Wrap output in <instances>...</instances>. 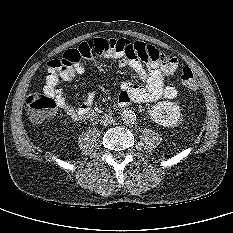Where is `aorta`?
Listing matches in <instances>:
<instances>
[{
  "mask_svg": "<svg viewBox=\"0 0 233 233\" xmlns=\"http://www.w3.org/2000/svg\"><path fill=\"white\" fill-rule=\"evenodd\" d=\"M121 118L126 124H133L136 120V115L131 110H123L121 112Z\"/></svg>",
  "mask_w": 233,
  "mask_h": 233,
  "instance_id": "1",
  "label": "aorta"
}]
</instances>
